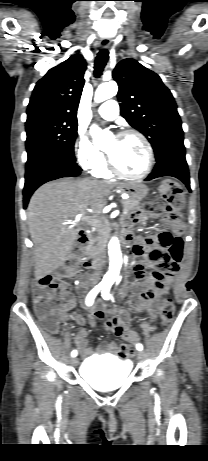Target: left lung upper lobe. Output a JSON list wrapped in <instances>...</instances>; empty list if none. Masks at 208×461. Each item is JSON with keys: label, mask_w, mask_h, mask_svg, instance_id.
<instances>
[{"label": "left lung upper lobe", "mask_w": 208, "mask_h": 461, "mask_svg": "<svg viewBox=\"0 0 208 461\" xmlns=\"http://www.w3.org/2000/svg\"><path fill=\"white\" fill-rule=\"evenodd\" d=\"M112 76L119 85L121 115L151 143L156 159L184 148L177 106L161 78L134 59L122 60Z\"/></svg>", "instance_id": "1"}]
</instances>
